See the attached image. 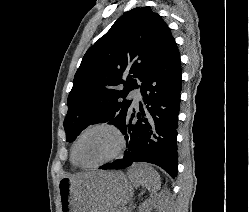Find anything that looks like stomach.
I'll return each instance as SVG.
<instances>
[{
    "instance_id": "stomach-1",
    "label": "stomach",
    "mask_w": 249,
    "mask_h": 212,
    "mask_svg": "<svg viewBox=\"0 0 249 212\" xmlns=\"http://www.w3.org/2000/svg\"><path fill=\"white\" fill-rule=\"evenodd\" d=\"M135 184H128L126 170H85V175H70L58 184L61 212H108L127 204Z\"/></svg>"
}]
</instances>
